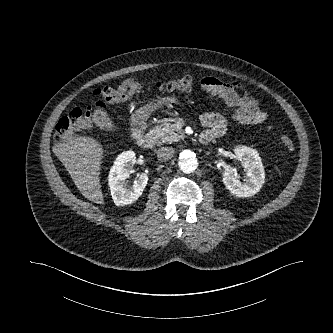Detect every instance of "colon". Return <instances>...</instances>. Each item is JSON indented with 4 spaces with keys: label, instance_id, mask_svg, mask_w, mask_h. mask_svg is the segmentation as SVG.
Here are the masks:
<instances>
[{
    "label": "colon",
    "instance_id": "1",
    "mask_svg": "<svg viewBox=\"0 0 333 333\" xmlns=\"http://www.w3.org/2000/svg\"><path fill=\"white\" fill-rule=\"evenodd\" d=\"M156 86L165 91H187L193 87L190 76H184L177 80L158 82ZM144 89V84L135 78L123 81L117 87H100L94 91L97 101L91 102L85 108H75L67 116L62 117L56 124L54 140L57 143L68 141L73 134L80 129H86L96 125V114L105 109L107 104L119 103L131 99ZM280 143L287 152H294L293 140L283 134Z\"/></svg>",
    "mask_w": 333,
    "mask_h": 333
}]
</instances>
